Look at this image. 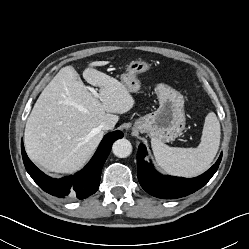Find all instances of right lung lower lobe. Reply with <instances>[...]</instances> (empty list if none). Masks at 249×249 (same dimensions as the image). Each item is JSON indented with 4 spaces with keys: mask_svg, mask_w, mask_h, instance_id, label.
<instances>
[{
    "mask_svg": "<svg viewBox=\"0 0 249 249\" xmlns=\"http://www.w3.org/2000/svg\"><path fill=\"white\" fill-rule=\"evenodd\" d=\"M121 131L108 133L101 141L97 151L83 170L61 179H53L41 172L27 157L23 142L21 143L22 157L25 168L35 183L45 192L58 198L84 199L95 193L100 184V176L112 144L122 138Z\"/></svg>",
    "mask_w": 249,
    "mask_h": 249,
    "instance_id": "98d812e1",
    "label": "right lung lower lobe"
}]
</instances>
